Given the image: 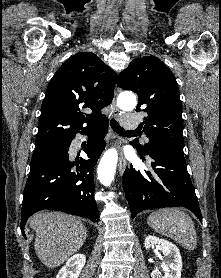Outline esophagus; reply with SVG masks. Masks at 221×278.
<instances>
[{
    "mask_svg": "<svg viewBox=\"0 0 221 278\" xmlns=\"http://www.w3.org/2000/svg\"><path fill=\"white\" fill-rule=\"evenodd\" d=\"M111 109H112V111H111L112 116L117 117L119 115V109L116 105L115 99H113V101H112ZM126 164H127V161L123 155V152L120 150L118 168H119V172L121 175L123 174V172L126 168Z\"/></svg>",
    "mask_w": 221,
    "mask_h": 278,
    "instance_id": "obj_1",
    "label": "esophagus"
}]
</instances>
